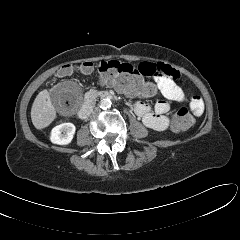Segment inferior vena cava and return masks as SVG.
I'll return each mask as SVG.
<instances>
[{"label": "inferior vena cava", "mask_w": 240, "mask_h": 240, "mask_svg": "<svg viewBox=\"0 0 240 240\" xmlns=\"http://www.w3.org/2000/svg\"><path fill=\"white\" fill-rule=\"evenodd\" d=\"M83 112H85V116L90 115L92 112H97L98 108L93 109L92 106H86L82 109Z\"/></svg>", "instance_id": "1"}]
</instances>
